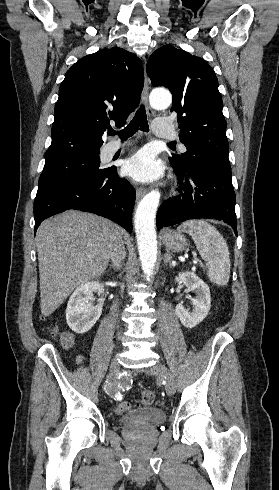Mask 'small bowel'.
Listing matches in <instances>:
<instances>
[{"label":"small bowel","instance_id":"1","mask_svg":"<svg viewBox=\"0 0 279 490\" xmlns=\"http://www.w3.org/2000/svg\"><path fill=\"white\" fill-rule=\"evenodd\" d=\"M76 362H77V364H81L83 362V356L82 355H78L77 358H76Z\"/></svg>","mask_w":279,"mask_h":490}]
</instances>
